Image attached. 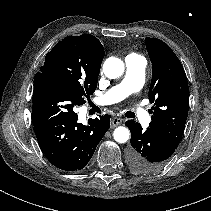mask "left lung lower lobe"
Returning <instances> with one entry per match:
<instances>
[{
  "label": "left lung lower lobe",
  "mask_w": 211,
  "mask_h": 211,
  "mask_svg": "<svg viewBox=\"0 0 211 211\" xmlns=\"http://www.w3.org/2000/svg\"><path fill=\"white\" fill-rule=\"evenodd\" d=\"M126 126L131 132V147L127 153L130 169L141 175L161 170L178 146L149 127L143 130L134 120L126 121Z\"/></svg>",
  "instance_id": "obj_1"
}]
</instances>
